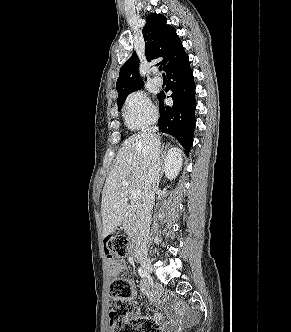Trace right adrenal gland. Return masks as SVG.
<instances>
[{
    "mask_svg": "<svg viewBox=\"0 0 291 332\" xmlns=\"http://www.w3.org/2000/svg\"><path fill=\"white\" fill-rule=\"evenodd\" d=\"M165 149V151L167 150V146H162V149H161V156H162V162H163V165L165 164V158H164V150ZM163 168H162V174H163Z\"/></svg>",
    "mask_w": 291,
    "mask_h": 332,
    "instance_id": "right-adrenal-gland-1",
    "label": "right adrenal gland"
}]
</instances>
